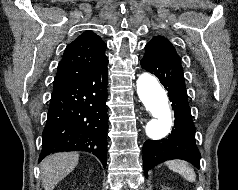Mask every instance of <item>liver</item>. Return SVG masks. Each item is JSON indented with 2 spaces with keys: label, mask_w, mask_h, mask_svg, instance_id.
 <instances>
[{
  "label": "liver",
  "mask_w": 238,
  "mask_h": 190,
  "mask_svg": "<svg viewBox=\"0 0 238 190\" xmlns=\"http://www.w3.org/2000/svg\"><path fill=\"white\" fill-rule=\"evenodd\" d=\"M77 152L55 153L44 159L41 166L42 185L45 190H53L55 186L71 173L77 166Z\"/></svg>",
  "instance_id": "liver-1"
}]
</instances>
